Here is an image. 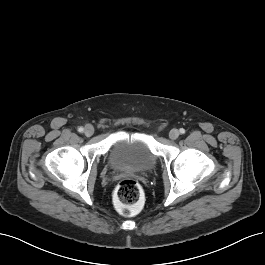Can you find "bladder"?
<instances>
[{
  "mask_svg": "<svg viewBox=\"0 0 265 265\" xmlns=\"http://www.w3.org/2000/svg\"><path fill=\"white\" fill-rule=\"evenodd\" d=\"M109 161L118 170L138 172L151 169L157 157L146 138L138 135L118 141L110 151Z\"/></svg>",
  "mask_w": 265,
  "mask_h": 265,
  "instance_id": "bladder-1",
  "label": "bladder"
}]
</instances>
